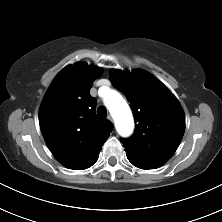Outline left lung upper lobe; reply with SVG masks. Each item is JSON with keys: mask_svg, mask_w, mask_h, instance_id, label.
Here are the masks:
<instances>
[{"mask_svg": "<svg viewBox=\"0 0 222 222\" xmlns=\"http://www.w3.org/2000/svg\"><path fill=\"white\" fill-rule=\"evenodd\" d=\"M109 77L127 97L135 118V133L121 139L129 161L141 169L160 167L174 154L184 134L185 116L179 101L144 70L112 69Z\"/></svg>", "mask_w": 222, "mask_h": 222, "instance_id": "1", "label": "left lung upper lobe"}]
</instances>
